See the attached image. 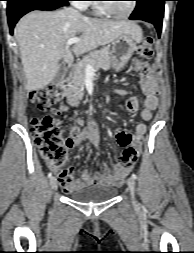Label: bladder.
I'll return each mask as SVG.
<instances>
[{
	"mask_svg": "<svg viewBox=\"0 0 194 253\" xmlns=\"http://www.w3.org/2000/svg\"><path fill=\"white\" fill-rule=\"evenodd\" d=\"M117 194L116 187L108 184H95L80 188L71 193L70 198L78 203H103L110 201Z\"/></svg>",
	"mask_w": 194,
	"mask_h": 253,
	"instance_id": "bladder-1",
	"label": "bladder"
}]
</instances>
